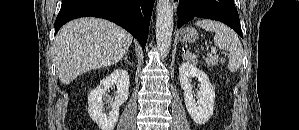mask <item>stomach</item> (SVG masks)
Wrapping results in <instances>:
<instances>
[{"label":"stomach","mask_w":299,"mask_h":130,"mask_svg":"<svg viewBox=\"0 0 299 130\" xmlns=\"http://www.w3.org/2000/svg\"><path fill=\"white\" fill-rule=\"evenodd\" d=\"M197 38L198 32L192 27H186L180 31V40L183 42H194Z\"/></svg>","instance_id":"stomach-1"}]
</instances>
